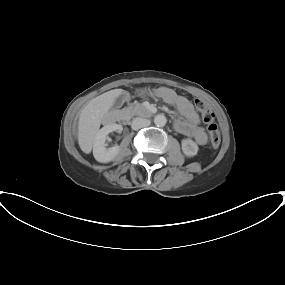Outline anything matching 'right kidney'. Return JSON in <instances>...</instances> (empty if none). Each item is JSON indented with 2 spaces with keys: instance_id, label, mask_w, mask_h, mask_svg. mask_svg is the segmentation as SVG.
<instances>
[{
  "instance_id": "obj_1",
  "label": "right kidney",
  "mask_w": 285,
  "mask_h": 285,
  "mask_svg": "<svg viewBox=\"0 0 285 285\" xmlns=\"http://www.w3.org/2000/svg\"><path fill=\"white\" fill-rule=\"evenodd\" d=\"M122 130L123 127L119 124H107L98 131L93 142V156L98 162L108 163L118 156L120 147L116 145L107 149L105 141L110 132L121 133Z\"/></svg>"
}]
</instances>
